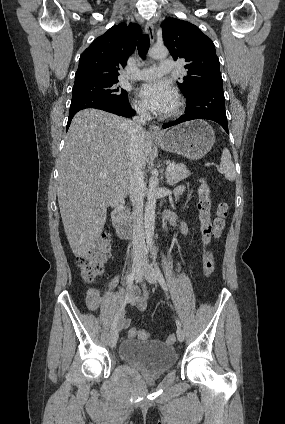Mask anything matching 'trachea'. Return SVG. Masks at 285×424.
I'll use <instances>...</instances> for the list:
<instances>
[{"mask_svg": "<svg viewBox=\"0 0 285 424\" xmlns=\"http://www.w3.org/2000/svg\"><path fill=\"white\" fill-rule=\"evenodd\" d=\"M150 39L147 34L140 36L138 40V53L144 59L149 48Z\"/></svg>", "mask_w": 285, "mask_h": 424, "instance_id": "1", "label": "trachea"}]
</instances>
